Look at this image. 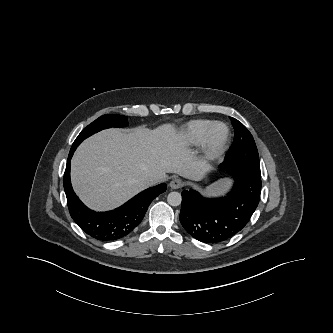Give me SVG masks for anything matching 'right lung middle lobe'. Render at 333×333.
<instances>
[{
    "instance_id": "right-lung-middle-lobe-1",
    "label": "right lung middle lobe",
    "mask_w": 333,
    "mask_h": 333,
    "mask_svg": "<svg viewBox=\"0 0 333 333\" xmlns=\"http://www.w3.org/2000/svg\"><path fill=\"white\" fill-rule=\"evenodd\" d=\"M127 124V117L125 116L116 114L103 115L81 131L71 148H77L84 139L100 130L111 127H124L127 126Z\"/></svg>"
}]
</instances>
